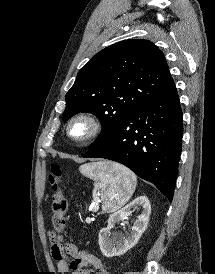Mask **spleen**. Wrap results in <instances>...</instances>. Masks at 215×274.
<instances>
[{"mask_svg": "<svg viewBox=\"0 0 215 274\" xmlns=\"http://www.w3.org/2000/svg\"><path fill=\"white\" fill-rule=\"evenodd\" d=\"M80 172L95 181L102 209L114 212L120 209L131 197L136 188V176L126 167L108 162L81 165Z\"/></svg>", "mask_w": 215, "mask_h": 274, "instance_id": "3e777b00", "label": "spleen"}]
</instances>
